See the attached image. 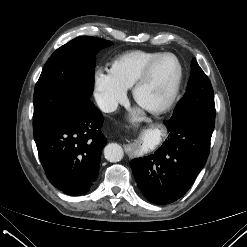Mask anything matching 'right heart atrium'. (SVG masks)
Masks as SVG:
<instances>
[{"label": "right heart atrium", "mask_w": 247, "mask_h": 247, "mask_svg": "<svg viewBox=\"0 0 247 247\" xmlns=\"http://www.w3.org/2000/svg\"><path fill=\"white\" fill-rule=\"evenodd\" d=\"M126 89L113 77L110 71L98 69L94 74V98L105 113L116 111L126 100Z\"/></svg>", "instance_id": "right-heart-atrium-1"}]
</instances>
